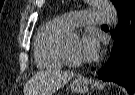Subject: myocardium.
I'll return each mask as SVG.
<instances>
[{
  "label": "myocardium",
  "mask_w": 135,
  "mask_h": 95,
  "mask_svg": "<svg viewBox=\"0 0 135 95\" xmlns=\"http://www.w3.org/2000/svg\"><path fill=\"white\" fill-rule=\"evenodd\" d=\"M60 54L65 64L73 67H78L82 65L81 61L74 60L70 57L67 49V38H65L61 44Z\"/></svg>",
  "instance_id": "obj_1"
}]
</instances>
